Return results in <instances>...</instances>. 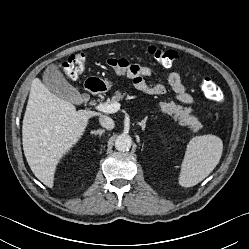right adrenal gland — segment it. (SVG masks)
I'll use <instances>...</instances> for the list:
<instances>
[{
    "label": "right adrenal gland",
    "mask_w": 249,
    "mask_h": 249,
    "mask_svg": "<svg viewBox=\"0 0 249 249\" xmlns=\"http://www.w3.org/2000/svg\"><path fill=\"white\" fill-rule=\"evenodd\" d=\"M105 132V130L99 129L97 131H92L91 134H95V135H99V137H101V135Z\"/></svg>",
    "instance_id": "1"
}]
</instances>
